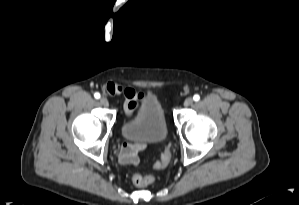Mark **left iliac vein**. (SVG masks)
Wrapping results in <instances>:
<instances>
[{"label":"left iliac vein","mask_w":299,"mask_h":205,"mask_svg":"<svg viewBox=\"0 0 299 205\" xmlns=\"http://www.w3.org/2000/svg\"><path fill=\"white\" fill-rule=\"evenodd\" d=\"M192 103H193V98L192 97H188L184 101V106H186V107L190 106V105H192Z\"/></svg>","instance_id":"left-iliac-vein-1"}]
</instances>
